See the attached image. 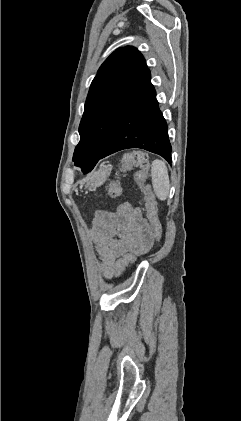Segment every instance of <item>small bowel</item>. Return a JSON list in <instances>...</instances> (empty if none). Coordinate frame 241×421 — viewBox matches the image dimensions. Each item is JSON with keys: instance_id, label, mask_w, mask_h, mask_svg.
<instances>
[{"instance_id": "small-bowel-1", "label": "small bowel", "mask_w": 241, "mask_h": 421, "mask_svg": "<svg viewBox=\"0 0 241 421\" xmlns=\"http://www.w3.org/2000/svg\"><path fill=\"white\" fill-rule=\"evenodd\" d=\"M102 264V274L110 278L117 261L126 254L140 256L152 246L154 232L139 208L121 205L115 212L98 211L90 230Z\"/></svg>"}]
</instances>
